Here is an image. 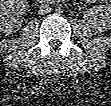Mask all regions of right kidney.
I'll use <instances>...</instances> for the list:
<instances>
[{
	"mask_svg": "<svg viewBox=\"0 0 111 106\" xmlns=\"http://www.w3.org/2000/svg\"><path fill=\"white\" fill-rule=\"evenodd\" d=\"M28 3L24 0H1L0 18L1 31L4 34L15 32L22 25V19L14 15V10H26Z\"/></svg>",
	"mask_w": 111,
	"mask_h": 106,
	"instance_id": "right-kidney-1",
	"label": "right kidney"
}]
</instances>
